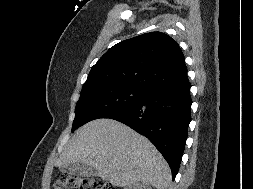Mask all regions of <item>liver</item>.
<instances>
[{"label":"liver","mask_w":253,"mask_h":189,"mask_svg":"<svg viewBox=\"0 0 253 189\" xmlns=\"http://www.w3.org/2000/svg\"><path fill=\"white\" fill-rule=\"evenodd\" d=\"M92 166L99 177L113 186L125 187L137 182L167 189L170 168L144 136L112 119H96L80 127L56 162Z\"/></svg>","instance_id":"liver-1"}]
</instances>
